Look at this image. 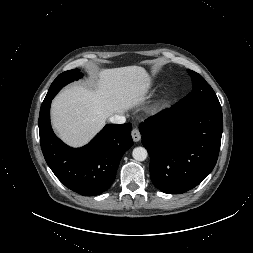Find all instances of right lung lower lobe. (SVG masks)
Here are the masks:
<instances>
[{
    "mask_svg": "<svg viewBox=\"0 0 253 253\" xmlns=\"http://www.w3.org/2000/svg\"><path fill=\"white\" fill-rule=\"evenodd\" d=\"M44 99L39 115L40 144L55 176L83 196L99 195L109 189L123 154L133 145L131 124H108L82 148H71L58 139L50 125V105Z\"/></svg>",
    "mask_w": 253,
    "mask_h": 253,
    "instance_id": "1",
    "label": "right lung lower lobe"
}]
</instances>
